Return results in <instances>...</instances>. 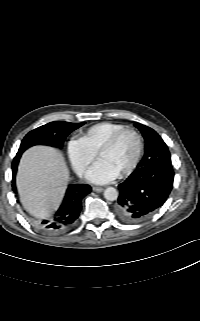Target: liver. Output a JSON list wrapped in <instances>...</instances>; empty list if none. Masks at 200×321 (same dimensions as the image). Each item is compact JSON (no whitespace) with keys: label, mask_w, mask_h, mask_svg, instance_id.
I'll use <instances>...</instances> for the list:
<instances>
[{"label":"liver","mask_w":200,"mask_h":321,"mask_svg":"<svg viewBox=\"0 0 200 321\" xmlns=\"http://www.w3.org/2000/svg\"><path fill=\"white\" fill-rule=\"evenodd\" d=\"M68 179L62 154L50 147L35 146L22 156L17 189L24 208L37 217H45L59 201Z\"/></svg>","instance_id":"1"}]
</instances>
